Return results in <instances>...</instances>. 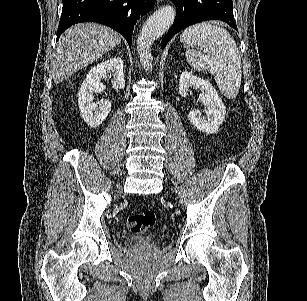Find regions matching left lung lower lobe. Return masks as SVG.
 Segmentation results:
<instances>
[{
	"label": "left lung lower lobe",
	"instance_id": "1",
	"mask_svg": "<svg viewBox=\"0 0 307 301\" xmlns=\"http://www.w3.org/2000/svg\"><path fill=\"white\" fill-rule=\"evenodd\" d=\"M177 8L176 17L162 39V49L168 41L184 28L207 20H221L237 30L233 16L232 0H171Z\"/></svg>",
	"mask_w": 307,
	"mask_h": 301
}]
</instances>
